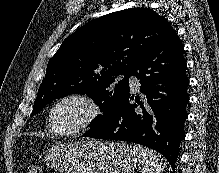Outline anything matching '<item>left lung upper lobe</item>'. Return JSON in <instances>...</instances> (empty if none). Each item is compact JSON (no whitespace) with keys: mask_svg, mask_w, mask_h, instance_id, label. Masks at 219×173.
Listing matches in <instances>:
<instances>
[{"mask_svg":"<svg viewBox=\"0 0 219 173\" xmlns=\"http://www.w3.org/2000/svg\"><path fill=\"white\" fill-rule=\"evenodd\" d=\"M172 31L163 16L143 7L113 12L83 25L49 60L31 116L56 98L87 94L103 111L88 132L96 131L129 94V77L140 57Z\"/></svg>","mask_w":219,"mask_h":173,"instance_id":"1","label":"left lung upper lobe"}]
</instances>
